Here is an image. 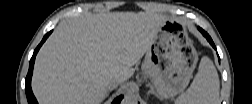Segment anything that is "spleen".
<instances>
[{
	"label": "spleen",
	"instance_id": "3e777b00",
	"mask_svg": "<svg viewBox=\"0 0 252 104\" xmlns=\"http://www.w3.org/2000/svg\"><path fill=\"white\" fill-rule=\"evenodd\" d=\"M220 82L213 62L203 57L193 82L177 99L178 104H216L219 102Z\"/></svg>",
	"mask_w": 252,
	"mask_h": 104
}]
</instances>
